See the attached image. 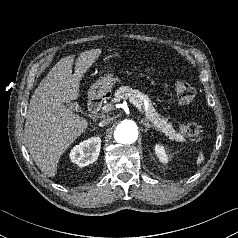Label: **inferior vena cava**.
<instances>
[{"instance_id": "1", "label": "inferior vena cava", "mask_w": 238, "mask_h": 238, "mask_svg": "<svg viewBox=\"0 0 238 238\" xmlns=\"http://www.w3.org/2000/svg\"><path fill=\"white\" fill-rule=\"evenodd\" d=\"M110 121H111V118H109V117H105L104 119H103V121H101L100 123H99V126H105V125H107L108 123H110Z\"/></svg>"}]
</instances>
